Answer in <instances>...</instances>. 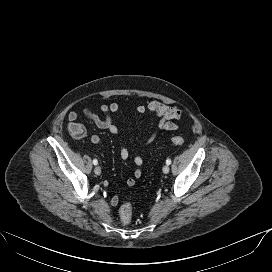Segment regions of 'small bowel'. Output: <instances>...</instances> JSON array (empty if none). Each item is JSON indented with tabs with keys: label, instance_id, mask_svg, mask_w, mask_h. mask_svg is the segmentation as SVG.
Here are the masks:
<instances>
[{
	"label": "small bowel",
	"instance_id": "small-bowel-1",
	"mask_svg": "<svg viewBox=\"0 0 272 272\" xmlns=\"http://www.w3.org/2000/svg\"><path fill=\"white\" fill-rule=\"evenodd\" d=\"M103 117L98 116L96 113L88 108L82 110V114L85 118L90 120L97 128L107 130L111 134L119 136L121 134L120 129L112 120L111 115L119 113L122 111V106L119 103L113 102L110 104H101L99 106ZM136 112L139 114H145L151 112L158 117L156 126L150 133V135L145 139H138L141 145L151 144L157 137L160 131H174L177 130L178 125L174 120H178L182 116V110L175 106H170L160 101H151L147 105H138L136 107ZM79 115L75 111H71L68 114V120L74 122L78 119ZM91 142L94 145H99L101 143V138L98 135H93L91 137ZM120 158L125 161L129 158V151L126 146L122 145L120 147ZM134 164L136 166L134 170V177H130L126 180V185L132 187L135 185V179L140 178L142 175V165L143 159L141 156L137 155L134 157ZM119 202L118 196H113L111 199V205L116 206Z\"/></svg>",
	"mask_w": 272,
	"mask_h": 272
}]
</instances>
